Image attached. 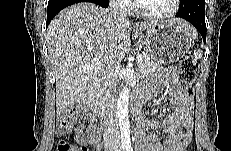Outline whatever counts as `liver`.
Masks as SVG:
<instances>
[{"instance_id": "obj_1", "label": "liver", "mask_w": 231, "mask_h": 151, "mask_svg": "<svg viewBox=\"0 0 231 151\" xmlns=\"http://www.w3.org/2000/svg\"><path fill=\"white\" fill-rule=\"evenodd\" d=\"M171 22L189 35L194 33L185 20ZM157 23H141L139 30ZM131 30L127 19L90 2L74 4L55 16L48 26L46 41L56 82L57 115L98 88L102 75L120 64L130 51ZM136 38L134 35L132 40ZM94 60L98 64L90 65Z\"/></svg>"}]
</instances>
